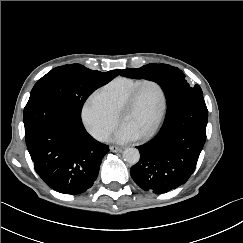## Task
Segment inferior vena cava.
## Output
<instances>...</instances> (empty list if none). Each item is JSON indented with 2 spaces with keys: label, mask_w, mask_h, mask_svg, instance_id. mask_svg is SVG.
Masks as SVG:
<instances>
[{
  "label": "inferior vena cava",
  "mask_w": 243,
  "mask_h": 243,
  "mask_svg": "<svg viewBox=\"0 0 243 243\" xmlns=\"http://www.w3.org/2000/svg\"><path fill=\"white\" fill-rule=\"evenodd\" d=\"M91 134L94 138L100 141H105L109 137V133L101 128H93Z\"/></svg>",
  "instance_id": "obj_1"
}]
</instances>
